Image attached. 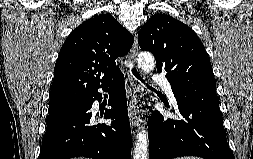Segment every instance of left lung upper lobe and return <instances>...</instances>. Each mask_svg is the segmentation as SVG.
Instances as JSON below:
<instances>
[{
  "mask_svg": "<svg viewBox=\"0 0 253 159\" xmlns=\"http://www.w3.org/2000/svg\"><path fill=\"white\" fill-rule=\"evenodd\" d=\"M138 43L142 50L153 53L157 72H167L172 88L216 93L204 45L181 21L162 13L153 15L139 31Z\"/></svg>",
  "mask_w": 253,
  "mask_h": 159,
  "instance_id": "1",
  "label": "left lung upper lobe"
}]
</instances>
